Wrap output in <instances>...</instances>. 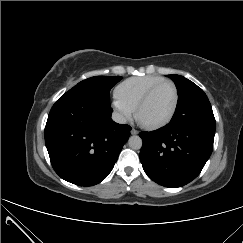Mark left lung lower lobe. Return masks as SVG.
<instances>
[{
  "label": "left lung lower lobe",
  "instance_id": "0a47b994",
  "mask_svg": "<svg viewBox=\"0 0 243 243\" xmlns=\"http://www.w3.org/2000/svg\"><path fill=\"white\" fill-rule=\"evenodd\" d=\"M215 129L169 122L150 132H140V160L145 173L156 183L181 187L195 179L213 149Z\"/></svg>",
  "mask_w": 243,
  "mask_h": 243
}]
</instances>
